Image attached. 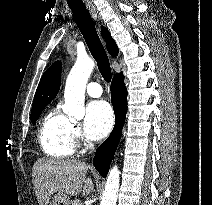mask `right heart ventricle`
Masks as SVG:
<instances>
[{
    "mask_svg": "<svg viewBox=\"0 0 212 205\" xmlns=\"http://www.w3.org/2000/svg\"><path fill=\"white\" fill-rule=\"evenodd\" d=\"M38 137L43 152L49 157L68 158L75 151L72 122L57 109H51L45 114Z\"/></svg>",
    "mask_w": 212,
    "mask_h": 205,
    "instance_id": "e07e8e85",
    "label": "right heart ventricle"
}]
</instances>
